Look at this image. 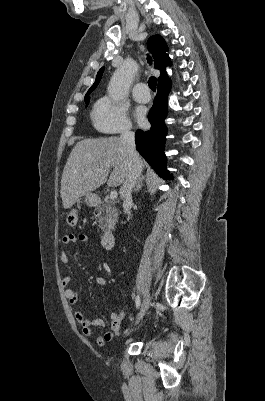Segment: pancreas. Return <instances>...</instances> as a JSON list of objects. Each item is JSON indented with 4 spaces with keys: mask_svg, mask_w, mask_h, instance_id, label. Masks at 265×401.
<instances>
[{
    "mask_svg": "<svg viewBox=\"0 0 265 401\" xmlns=\"http://www.w3.org/2000/svg\"><path fill=\"white\" fill-rule=\"evenodd\" d=\"M95 211H97L99 229H114V225L118 223V213L115 207V201L113 198H104V201H101L99 207H96Z\"/></svg>",
    "mask_w": 265,
    "mask_h": 401,
    "instance_id": "1",
    "label": "pancreas"
}]
</instances>
